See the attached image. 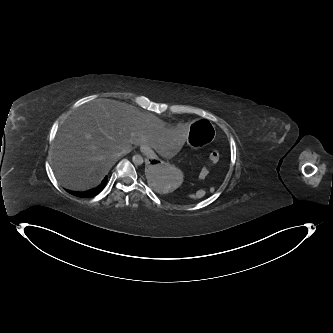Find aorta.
Segmentation results:
<instances>
[{"instance_id":"obj_1","label":"aorta","mask_w":333,"mask_h":333,"mask_svg":"<svg viewBox=\"0 0 333 333\" xmlns=\"http://www.w3.org/2000/svg\"><path fill=\"white\" fill-rule=\"evenodd\" d=\"M132 161L135 165H142L144 163L143 157L139 154L134 155Z\"/></svg>"}]
</instances>
